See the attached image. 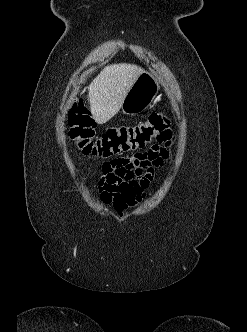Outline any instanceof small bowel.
<instances>
[{"label":"small bowel","mask_w":247,"mask_h":332,"mask_svg":"<svg viewBox=\"0 0 247 332\" xmlns=\"http://www.w3.org/2000/svg\"><path fill=\"white\" fill-rule=\"evenodd\" d=\"M169 153L158 144L131 157H119L102 165L99 179L100 200L122 212L135 206L152 185L155 171L163 166Z\"/></svg>","instance_id":"1"}]
</instances>
